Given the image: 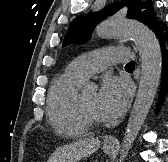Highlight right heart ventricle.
I'll use <instances>...</instances> for the list:
<instances>
[{"mask_svg": "<svg viewBox=\"0 0 168 162\" xmlns=\"http://www.w3.org/2000/svg\"><path fill=\"white\" fill-rule=\"evenodd\" d=\"M83 81L68 67L54 79L49 89L47 116L51 126L59 135L78 137L88 130L75 109L76 97Z\"/></svg>", "mask_w": 168, "mask_h": 162, "instance_id": "obj_1", "label": "right heart ventricle"}]
</instances>
